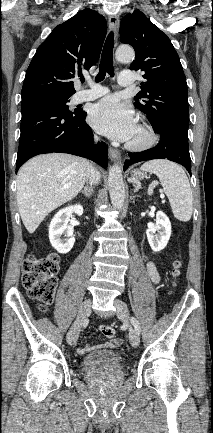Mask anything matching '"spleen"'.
Masks as SVG:
<instances>
[{"instance_id": "obj_1", "label": "spleen", "mask_w": 213, "mask_h": 433, "mask_svg": "<svg viewBox=\"0 0 213 433\" xmlns=\"http://www.w3.org/2000/svg\"><path fill=\"white\" fill-rule=\"evenodd\" d=\"M141 170L157 175L175 218L182 222L189 221L193 212V196L183 168L168 160H151L144 163Z\"/></svg>"}]
</instances>
